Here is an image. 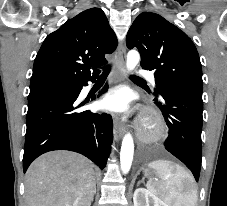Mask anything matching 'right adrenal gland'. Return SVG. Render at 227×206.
<instances>
[{
	"label": "right adrenal gland",
	"instance_id": "obj_1",
	"mask_svg": "<svg viewBox=\"0 0 227 206\" xmlns=\"http://www.w3.org/2000/svg\"><path fill=\"white\" fill-rule=\"evenodd\" d=\"M96 184V183H95ZM94 194H96V187H95V190H94Z\"/></svg>",
	"mask_w": 227,
	"mask_h": 206
}]
</instances>
